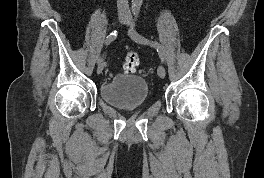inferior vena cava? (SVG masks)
<instances>
[{
  "label": "inferior vena cava",
  "mask_w": 264,
  "mask_h": 178,
  "mask_svg": "<svg viewBox=\"0 0 264 178\" xmlns=\"http://www.w3.org/2000/svg\"><path fill=\"white\" fill-rule=\"evenodd\" d=\"M118 12L129 13L128 0H117Z\"/></svg>",
  "instance_id": "obj_1"
}]
</instances>
